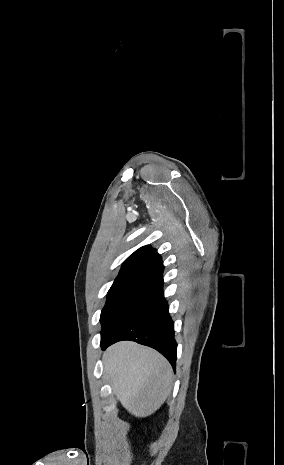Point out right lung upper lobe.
Here are the masks:
<instances>
[{
	"label": "right lung upper lobe",
	"mask_w": 284,
	"mask_h": 465,
	"mask_svg": "<svg viewBox=\"0 0 284 465\" xmlns=\"http://www.w3.org/2000/svg\"><path fill=\"white\" fill-rule=\"evenodd\" d=\"M164 266L161 256L150 246H143L132 253L123 263L117 278H135L159 281Z\"/></svg>",
	"instance_id": "cb5924a9"
}]
</instances>
